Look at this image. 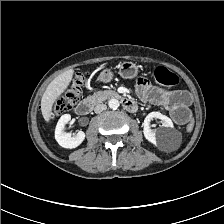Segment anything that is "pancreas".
I'll list each match as a JSON object with an SVG mask.
<instances>
[{
  "mask_svg": "<svg viewBox=\"0 0 224 224\" xmlns=\"http://www.w3.org/2000/svg\"><path fill=\"white\" fill-rule=\"evenodd\" d=\"M107 94L116 95V93L114 91H104V92H98L97 94H94L93 97L100 98V97H102L104 95H107Z\"/></svg>",
  "mask_w": 224,
  "mask_h": 224,
  "instance_id": "1",
  "label": "pancreas"
}]
</instances>
